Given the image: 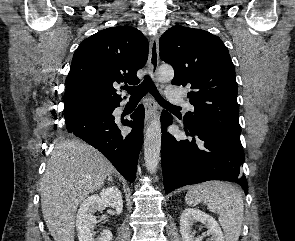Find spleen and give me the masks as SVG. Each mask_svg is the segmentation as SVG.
I'll return each mask as SVG.
<instances>
[{"mask_svg":"<svg viewBox=\"0 0 295 241\" xmlns=\"http://www.w3.org/2000/svg\"><path fill=\"white\" fill-rule=\"evenodd\" d=\"M185 200L189 206L203 202L209 211L219 214L226 241H238L244 208L241 193L234 186L222 181L204 182L192 186Z\"/></svg>","mask_w":295,"mask_h":241,"instance_id":"3e777b00","label":"spleen"}]
</instances>
